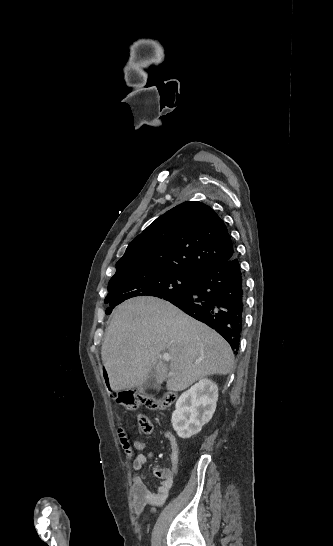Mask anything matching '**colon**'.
Instances as JSON below:
<instances>
[{"label":"colon","instance_id":"obj_1","mask_svg":"<svg viewBox=\"0 0 333 546\" xmlns=\"http://www.w3.org/2000/svg\"><path fill=\"white\" fill-rule=\"evenodd\" d=\"M102 370H103L102 378L108 379L109 378L108 367L105 366L103 367ZM105 383L107 384L106 390L112 391L113 385L109 384L110 382L108 380ZM175 400H176V395L173 392H166L159 399H156L150 395H146V394L134 392V391H123L116 395L117 403L120 406L130 410H134L140 406H145L151 409H166L170 407L175 402ZM138 423H139L140 429L142 430L144 434L152 433L153 425L148 416L144 414H140L138 416ZM120 437L127 453L131 455V449H130L128 439L122 430H120Z\"/></svg>","mask_w":333,"mask_h":546}]
</instances>
